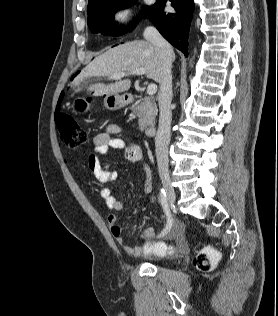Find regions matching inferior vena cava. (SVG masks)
Wrapping results in <instances>:
<instances>
[{
    "label": "inferior vena cava",
    "instance_id": "1",
    "mask_svg": "<svg viewBox=\"0 0 278 316\" xmlns=\"http://www.w3.org/2000/svg\"><path fill=\"white\" fill-rule=\"evenodd\" d=\"M144 38L151 42L162 61L163 77L160 82L159 92V126L155 138L156 158L160 173L168 172V146L171 134L172 113L170 109L172 101V61L173 49L171 45L161 36L155 27H147L144 31Z\"/></svg>",
    "mask_w": 278,
    "mask_h": 316
}]
</instances>
